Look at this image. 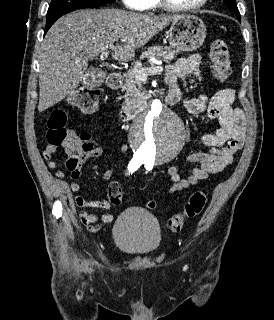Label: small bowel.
Returning a JSON list of instances; mask_svg holds the SVG:
<instances>
[{"label": "small bowel", "mask_w": 274, "mask_h": 320, "mask_svg": "<svg viewBox=\"0 0 274 320\" xmlns=\"http://www.w3.org/2000/svg\"><path fill=\"white\" fill-rule=\"evenodd\" d=\"M201 57L198 54L189 57L180 58L175 64L167 67L166 82L169 85L170 92L177 91L180 94L178 80L181 78H190L198 83L202 82L200 72ZM235 90L224 88L212 96L201 94L198 97L184 100V106L192 114H203L207 121L217 120L219 127L214 133L205 134L201 137V143L208 150L206 152L192 153L187 157V161L196 164L197 167L191 169L186 175L181 173L178 166L172 165L167 168V176L172 182L168 193L173 195L183 191L200 181L206 180L212 174L221 172L227 168L233 161L236 154L243 147L246 138V119L241 109L233 107L235 100ZM43 153L44 162L48 163L50 169L55 170L58 178L64 176V171L56 161V146H47ZM123 153L128 151V146L121 147ZM103 153L102 147H93L91 144L86 146L84 151L74 154L75 157L96 158ZM117 165L107 169L103 173V179L111 180L116 172ZM80 177V171L77 169L71 173V178L76 180ZM81 186L77 182L70 185V190L74 194V204L82 208L79 211L80 221L86 226L93 224L105 225L113 221L111 214L105 213L101 216L90 214L87 208L108 210L111 206L107 200L88 201L79 194Z\"/></svg>", "instance_id": "small-bowel-1"}]
</instances>
